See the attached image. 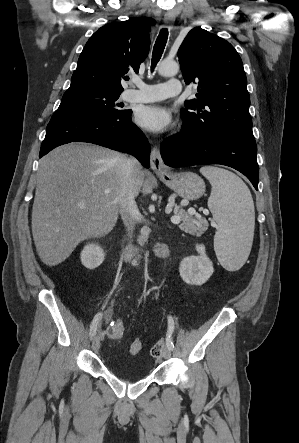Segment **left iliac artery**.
Returning a JSON list of instances; mask_svg holds the SVG:
<instances>
[{"instance_id": "44dca946", "label": "left iliac artery", "mask_w": 299, "mask_h": 443, "mask_svg": "<svg viewBox=\"0 0 299 443\" xmlns=\"http://www.w3.org/2000/svg\"><path fill=\"white\" fill-rule=\"evenodd\" d=\"M173 330H174V320L171 316H168V331L166 335V344L170 350L174 349V343L171 337Z\"/></svg>"}]
</instances>
